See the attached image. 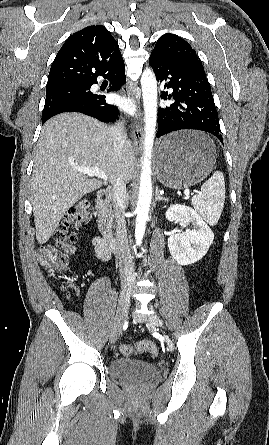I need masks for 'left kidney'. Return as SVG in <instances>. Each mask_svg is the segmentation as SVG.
<instances>
[{
  "instance_id": "5707ae66",
  "label": "left kidney",
  "mask_w": 269,
  "mask_h": 445,
  "mask_svg": "<svg viewBox=\"0 0 269 445\" xmlns=\"http://www.w3.org/2000/svg\"><path fill=\"white\" fill-rule=\"evenodd\" d=\"M166 219L180 222L184 227L191 223L196 229L189 233H176L168 238L171 256L180 265H191L202 259L213 242L214 234L195 210L184 205H172L166 211Z\"/></svg>"
}]
</instances>
